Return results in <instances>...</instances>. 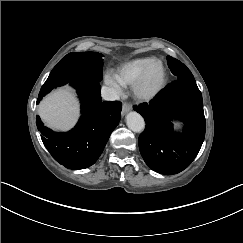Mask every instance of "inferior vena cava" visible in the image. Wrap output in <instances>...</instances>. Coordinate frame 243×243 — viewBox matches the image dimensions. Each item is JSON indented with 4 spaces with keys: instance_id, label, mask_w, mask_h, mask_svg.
Here are the masks:
<instances>
[{
    "instance_id": "1",
    "label": "inferior vena cava",
    "mask_w": 243,
    "mask_h": 243,
    "mask_svg": "<svg viewBox=\"0 0 243 243\" xmlns=\"http://www.w3.org/2000/svg\"><path fill=\"white\" fill-rule=\"evenodd\" d=\"M101 95L102 98L107 101H119L120 99L118 94L108 87H102Z\"/></svg>"
}]
</instances>
